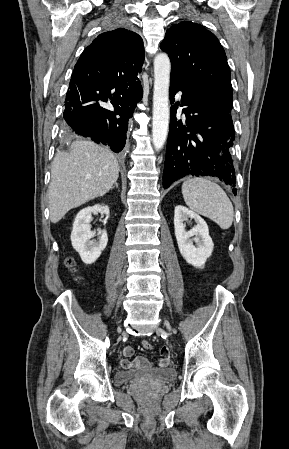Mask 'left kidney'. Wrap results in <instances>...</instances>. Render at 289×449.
Listing matches in <instances>:
<instances>
[{
	"label": "left kidney",
	"instance_id": "5707ae66",
	"mask_svg": "<svg viewBox=\"0 0 289 449\" xmlns=\"http://www.w3.org/2000/svg\"><path fill=\"white\" fill-rule=\"evenodd\" d=\"M188 218L197 223L191 230H185L184 221ZM174 228L177 244L182 257L196 268H203L214 248L209 229L201 216L185 206L178 205L174 210ZM195 242V245L193 244Z\"/></svg>",
	"mask_w": 289,
	"mask_h": 449
}]
</instances>
